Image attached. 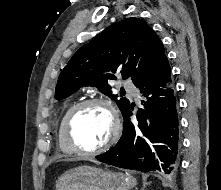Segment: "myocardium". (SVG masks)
Wrapping results in <instances>:
<instances>
[{"instance_id": "myocardium-1", "label": "myocardium", "mask_w": 221, "mask_h": 190, "mask_svg": "<svg viewBox=\"0 0 221 190\" xmlns=\"http://www.w3.org/2000/svg\"><path fill=\"white\" fill-rule=\"evenodd\" d=\"M94 104L103 105L109 110L113 121L112 132L109 139L102 145L93 149H86L80 146L75 140L73 136V126L79 113L84 108ZM63 129H64L65 139L75 153L81 155H95L108 150L116 143L121 131V122L119 114L111 100L105 97H92L79 102L71 109V111L68 113V115L65 118Z\"/></svg>"}]
</instances>
